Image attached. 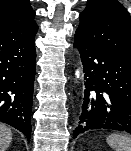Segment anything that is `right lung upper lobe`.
Returning a JSON list of instances; mask_svg holds the SVG:
<instances>
[{
    "label": "right lung upper lobe",
    "instance_id": "right-lung-upper-lobe-1",
    "mask_svg": "<svg viewBox=\"0 0 131 151\" xmlns=\"http://www.w3.org/2000/svg\"><path fill=\"white\" fill-rule=\"evenodd\" d=\"M35 11L29 0L0 1V39H14L37 32Z\"/></svg>",
    "mask_w": 131,
    "mask_h": 151
}]
</instances>
